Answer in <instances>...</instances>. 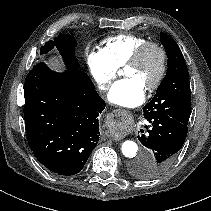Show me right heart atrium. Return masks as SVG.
Wrapping results in <instances>:
<instances>
[{"instance_id": "right-heart-atrium-1", "label": "right heart atrium", "mask_w": 211, "mask_h": 211, "mask_svg": "<svg viewBox=\"0 0 211 211\" xmlns=\"http://www.w3.org/2000/svg\"><path fill=\"white\" fill-rule=\"evenodd\" d=\"M86 62L96 86L102 91L107 90L117 76L118 67L99 49L88 50Z\"/></svg>"}]
</instances>
